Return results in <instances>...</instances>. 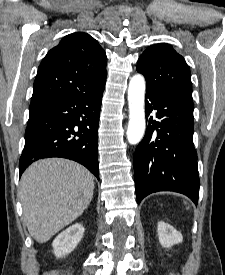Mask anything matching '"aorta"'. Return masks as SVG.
Segmentation results:
<instances>
[{
  "label": "aorta",
  "instance_id": "1",
  "mask_svg": "<svg viewBox=\"0 0 225 275\" xmlns=\"http://www.w3.org/2000/svg\"><path fill=\"white\" fill-rule=\"evenodd\" d=\"M145 79L142 75H134L128 87L129 123L127 140L130 144H138L145 133Z\"/></svg>",
  "mask_w": 225,
  "mask_h": 275
}]
</instances>
